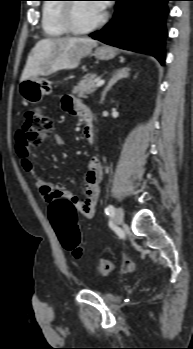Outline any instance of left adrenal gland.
Wrapping results in <instances>:
<instances>
[{"label":"left adrenal gland","mask_w":193,"mask_h":349,"mask_svg":"<svg viewBox=\"0 0 193 349\" xmlns=\"http://www.w3.org/2000/svg\"><path fill=\"white\" fill-rule=\"evenodd\" d=\"M129 71H130V69L128 67H124V68L116 70L113 73L111 79L108 82V85L105 87V89L103 90V92L101 94V100H100L101 104L104 102L107 92L112 88L113 85H115L119 80L129 77V75H130Z\"/></svg>","instance_id":"a2214340"}]
</instances>
